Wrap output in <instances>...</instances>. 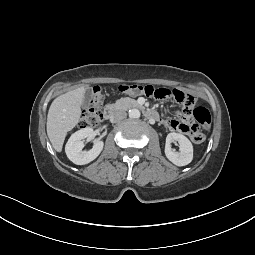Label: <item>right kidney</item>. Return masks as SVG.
<instances>
[{
	"label": "right kidney",
	"mask_w": 255,
	"mask_h": 255,
	"mask_svg": "<svg viewBox=\"0 0 255 255\" xmlns=\"http://www.w3.org/2000/svg\"><path fill=\"white\" fill-rule=\"evenodd\" d=\"M86 138H93V129L90 127L83 128L72 134L65 146L66 155L74 164L84 165L90 163L99 156L103 149V141H97L90 151H82L84 147L83 140Z\"/></svg>",
	"instance_id": "ca27d5eb"
}]
</instances>
